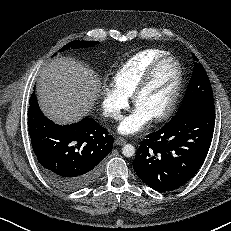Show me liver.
I'll use <instances>...</instances> for the list:
<instances>
[{
    "label": "liver",
    "instance_id": "obj_1",
    "mask_svg": "<svg viewBox=\"0 0 231 231\" xmlns=\"http://www.w3.org/2000/svg\"><path fill=\"white\" fill-rule=\"evenodd\" d=\"M100 91L95 73L81 62L60 57L44 66L37 95L45 115L59 124L79 121L92 109Z\"/></svg>",
    "mask_w": 231,
    "mask_h": 231
}]
</instances>
